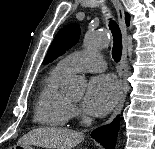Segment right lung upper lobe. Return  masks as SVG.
I'll return each instance as SVG.
<instances>
[{
  "instance_id": "obj_1",
  "label": "right lung upper lobe",
  "mask_w": 155,
  "mask_h": 149,
  "mask_svg": "<svg viewBox=\"0 0 155 149\" xmlns=\"http://www.w3.org/2000/svg\"><path fill=\"white\" fill-rule=\"evenodd\" d=\"M125 15H126V17H125L126 24L129 25L130 17L127 13H125Z\"/></svg>"
}]
</instances>
